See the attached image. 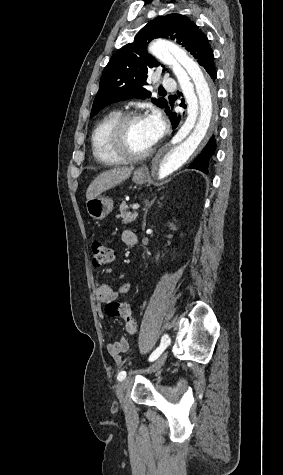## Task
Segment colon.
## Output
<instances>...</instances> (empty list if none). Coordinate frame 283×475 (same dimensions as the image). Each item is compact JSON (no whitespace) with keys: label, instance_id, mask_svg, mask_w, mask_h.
Here are the masks:
<instances>
[{"label":"colon","instance_id":"colon-1","mask_svg":"<svg viewBox=\"0 0 283 475\" xmlns=\"http://www.w3.org/2000/svg\"><path fill=\"white\" fill-rule=\"evenodd\" d=\"M111 259V251L102 242H95L92 245V261L95 267H102ZM105 314H113L120 317L125 325V330L131 336L137 334V322L132 316L131 307L127 303L105 305L103 307Z\"/></svg>","mask_w":283,"mask_h":475}]
</instances>
